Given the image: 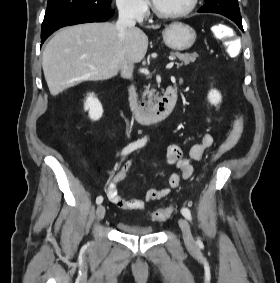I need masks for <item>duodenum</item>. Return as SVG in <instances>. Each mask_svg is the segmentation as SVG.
Instances as JSON below:
<instances>
[{"label": "duodenum", "mask_w": 280, "mask_h": 283, "mask_svg": "<svg viewBox=\"0 0 280 283\" xmlns=\"http://www.w3.org/2000/svg\"><path fill=\"white\" fill-rule=\"evenodd\" d=\"M177 101V89L169 86L158 103L151 107L139 103L134 85L128 90V105L138 122L150 125L167 118L173 111Z\"/></svg>", "instance_id": "1"}]
</instances>
